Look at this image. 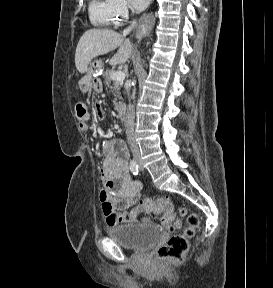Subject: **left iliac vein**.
Masks as SVG:
<instances>
[{"label":"left iliac vein","instance_id":"4c4485c4","mask_svg":"<svg viewBox=\"0 0 273 288\" xmlns=\"http://www.w3.org/2000/svg\"><path fill=\"white\" fill-rule=\"evenodd\" d=\"M139 167H140V170H144L143 164L140 160H139Z\"/></svg>","mask_w":273,"mask_h":288}]
</instances>
